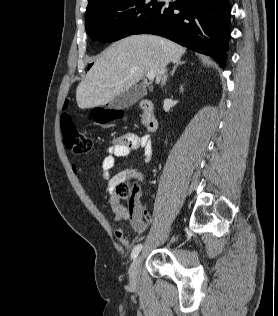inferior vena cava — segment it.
Returning a JSON list of instances; mask_svg holds the SVG:
<instances>
[{
  "label": "inferior vena cava",
  "mask_w": 278,
  "mask_h": 316,
  "mask_svg": "<svg viewBox=\"0 0 278 316\" xmlns=\"http://www.w3.org/2000/svg\"><path fill=\"white\" fill-rule=\"evenodd\" d=\"M162 76H163L162 77V84H165V82L167 80V69H164Z\"/></svg>",
  "instance_id": "1"
}]
</instances>
